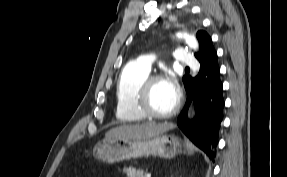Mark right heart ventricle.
Instances as JSON below:
<instances>
[{
  "mask_svg": "<svg viewBox=\"0 0 287 177\" xmlns=\"http://www.w3.org/2000/svg\"><path fill=\"white\" fill-rule=\"evenodd\" d=\"M150 71L136 63L126 65L115 88V115L121 123H137L145 119L136 106L139 89Z\"/></svg>",
  "mask_w": 287,
  "mask_h": 177,
  "instance_id": "e07e8e85",
  "label": "right heart ventricle"
}]
</instances>
